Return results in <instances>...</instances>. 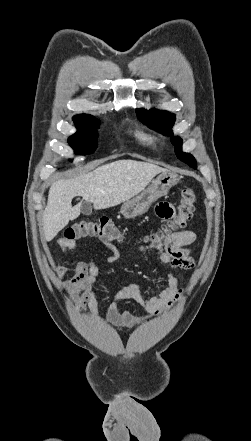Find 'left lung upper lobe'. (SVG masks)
I'll list each match as a JSON object with an SVG mask.
<instances>
[{
    "label": "left lung upper lobe",
    "instance_id": "5c2ea615",
    "mask_svg": "<svg viewBox=\"0 0 251 441\" xmlns=\"http://www.w3.org/2000/svg\"><path fill=\"white\" fill-rule=\"evenodd\" d=\"M140 120L146 124L148 127L157 130L158 132L167 135L172 136L171 141L173 145L175 146V153L177 157L190 165L191 167L195 168L196 161L194 157L191 154L183 153L182 150V139L180 137H173V133L171 131V128L174 125L175 122V115L172 113H169L167 111H159L156 109L151 110H145V109H137L136 110Z\"/></svg>",
    "mask_w": 251,
    "mask_h": 441
}]
</instances>
